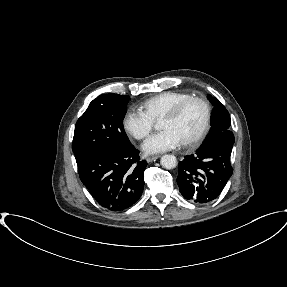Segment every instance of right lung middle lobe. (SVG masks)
Segmentation results:
<instances>
[{
  "instance_id": "dd1d6c3e",
  "label": "right lung middle lobe",
  "mask_w": 287,
  "mask_h": 287,
  "mask_svg": "<svg viewBox=\"0 0 287 287\" xmlns=\"http://www.w3.org/2000/svg\"><path fill=\"white\" fill-rule=\"evenodd\" d=\"M129 99L126 95L103 94L89 104L75 126L72 150L76 162L95 149L133 146L123 127Z\"/></svg>"
}]
</instances>
